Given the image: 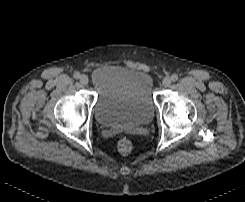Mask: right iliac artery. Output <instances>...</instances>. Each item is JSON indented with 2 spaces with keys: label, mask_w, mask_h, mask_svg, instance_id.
Instances as JSON below:
<instances>
[{
  "label": "right iliac artery",
  "mask_w": 245,
  "mask_h": 202,
  "mask_svg": "<svg viewBox=\"0 0 245 202\" xmlns=\"http://www.w3.org/2000/svg\"><path fill=\"white\" fill-rule=\"evenodd\" d=\"M74 78L75 79H79L80 78V73L79 72H75L74 73Z\"/></svg>",
  "instance_id": "obj_1"
}]
</instances>
